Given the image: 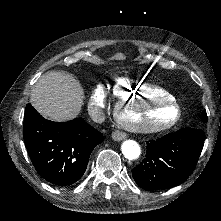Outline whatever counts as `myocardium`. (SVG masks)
Here are the masks:
<instances>
[{"instance_id": "f54148a6", "label": "myocardium", "mask_w": 221, "mask_h": 221, "mask_svg": "<svg viewBox=\"0 0 221 221\" xmlns=\"http://www.w3.org/2000/svg\"><path fill=\"white\" fill-rule=\"evenodd\" d=\"M155 105H171L173 109L172 116L168 120L160 123L145 121L146 118L142 114L141 109L143 107L148 108L153 107ZM114 107L115 111L113 114V120L116 126L123 127L128 131L137 130V132L139 133H150L152 131L160 132L169 130L175 125H177L180 119L182 118V107L181 104H179L178 99H171L167 96L166 98H159L158 94L155 96V98H148L147 96H145V94H143L139 99L133 98L123 103L118 102L115 104ZM125 114L129 115L132 119H130Z\"/></svg>"}]
</instances>
